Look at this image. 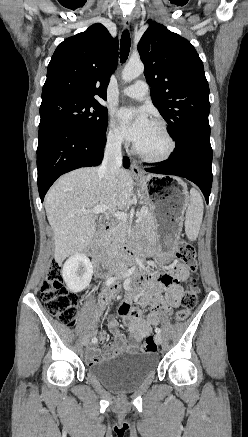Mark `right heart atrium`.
Instances as JSON below:
<instances>
[{
	"instance_id": "right-heart-atrium-1",
	"label": "right heart atrium",
	"mask_w": 248,
	"mask_h": 437,
	"mask_svg": "<svg viewBox=\"0 0 248 437\" xmlns=\"http://www.w3.org/2000/svg\"><path fill=\"white\" fill-rule=\"evenodd\" d=\"M106 142L112 148H119L123 143L122 136L113 121L109 122L106 132Z\"/></svg>"
}]
</instances>
